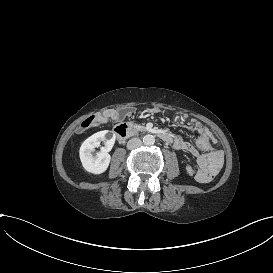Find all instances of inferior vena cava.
I'll use <instances>...</instances> for the list:
<instances>
[{
	"mask_svg": "<svg viewBox=\"0 0 273 273\" xmlns=\"http://www.w3.org/2000/svg\"><path fill=\"white\" fill-rule=\"evenodd\" d=\"M142 145V141L139 138H131L127 142V148L128 149H136Z\"/></svg>",
	"mask_w": 273,
	"mask_h": 273,
	"instance_id": "1",
	"label": "inferior vena cava"
}]
</instances>
